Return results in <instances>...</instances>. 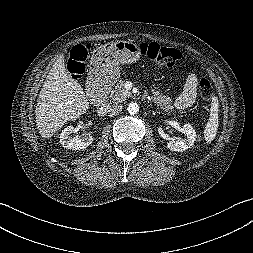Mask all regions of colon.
I'll return each instance as SVG.
<instances>
[{
    "label": "colon",
    "mask_w": 253,
    "mask_h": 253,
    "mask_svg": "<svg viewBox=\"0 0 253 253\" xmlns=\"http://www.w3.org/2000/svg\"><path fill=\"white\" fill-rule=\"evenodd\" d=\"M143 51L148 58L166 67H173L181 58V53L178 50L161 46L158 43L144 45ZM87 54V48L83 45H76L71 49L67 68L73 78H80L83 74ZM198 85L202 98L209 100L213 94L209 80L203 78L198 82Z\"/></svg>",
    "instance_id": "colon-1"
}]
</instances>
